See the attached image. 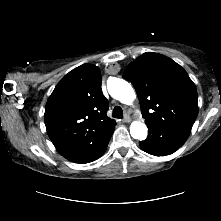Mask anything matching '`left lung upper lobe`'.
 <instances>
[{
	"label": "left lung upper lobe",
	"instance_id": "5c2ea615",
	"mask_svg": "<svg viewBox=\"0 0 221 221\" xmlns=\"http://www.w3.org/2000/svg\"><path fill=\"white\" fill-rule=\"evenodd\" d=\"M138 95L146 124L191 129L198 114L197 90L172 59L147 52L123 73Z\"/></svg>",
	"mask_w": 221,
	"mask_h": 221
}]
</instances>
